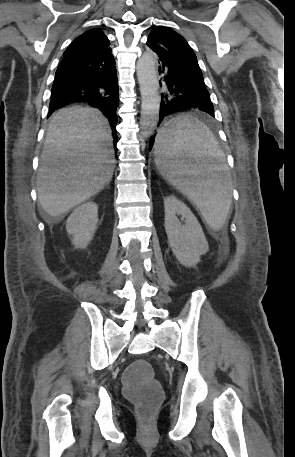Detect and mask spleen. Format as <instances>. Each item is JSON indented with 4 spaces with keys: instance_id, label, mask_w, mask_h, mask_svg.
Returning <instances> with one entry per match:
<instances>
[{
    "instance_id": "spleen-1",
    "label": "spleen",
    "mask_w": 295,
    "mask_h": 457,
    "mask_svg": "<svg viewBox=\"0 0 295 457\" xmlns=\"http://www.w3.org/2000/svg\"><path fill=\"white\" fill-rule=\"evenodd\" d=\"M165 125L155 143L157 168L199 208L212 230H220L232 202V179L222 150L211 131L190 115Z\"/></svg>"
}]
</instances>
